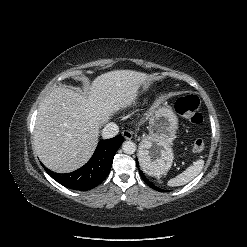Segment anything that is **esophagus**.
<instances>
[{
	"label": "esophagus",
	"instance_id": "esophagus-1",
	"mask_svg": "<svg viewBox=\"0 0 247 247\" xmlns=\"http://www.w3.org/2000/svg\"><path fill=\"white\" fill-rule=\"evenodd\" d=\"M122 136L127 139L130 140L133 137V132L129 131V130H123L122 131Z\"/></svg>",
	"mask_w": 247,
	"mask_h": 247
}]
</instances>
